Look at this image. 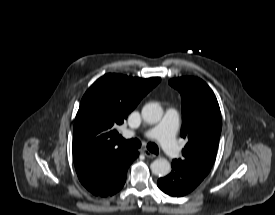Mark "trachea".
I'll return each mask as SVG.
<instances>
[{"instance_id":"trachea-1","label":"trachea","mask_w":275,"mask_h":215,"mask_svg":"<svg viewBox=\"0 0 275 215\" xmlns=\"http://www.w3.org/2000/svg\"><path fill=\"white\" fill-rule=\"evenodd\" d=\"M119 140H120L123 144H125V145H127V146H129V147H131V148H134V149H138V148L141 147V142H140V140H138V139L126 140V139H124L123 137L119 136ZM147 149H148L151 153L158 154V147H157V145L154 144V143H148V144H147Z\"/></svg>"}]
</instances>
